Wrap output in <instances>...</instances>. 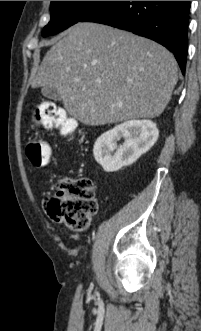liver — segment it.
Instances as JSON below:
<instances>
[{
	"mask_svg": "<svg viewBox=\"0 0 201 331\" xmlns=\"http://www.w3.org/2000/svg\"><path fill=\"white\" fill-rule=\"evenodd\" d=\"M177 62L160 44L96 23H78L44 56L30 83L58 89L85 125L155 118L177 83Z\"/></svg>",
	"mask_w": 201,
	"mask_h": 331,
	"instance_id": "obj_1",
	"label": "liver"
}]
</instances>
